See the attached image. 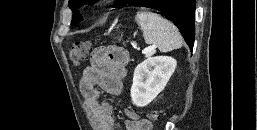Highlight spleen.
<instances>
[{"instance_id": "obj_1", "label": "spleen", "mask_w": 257, "mask_h": 130, "mask_svg": "<svg viewBox=\"0 0 257 130\" xmlns=\"http://www.w3.org/2000/svg\"><path fill=\"white\" fill-rule=\"evenodd\" d=\"M135 20L147 44H153L161 52L182 47L183 39L176 26L160 15L142 10L137 12Z\"/></svg>"}]
</instances>
